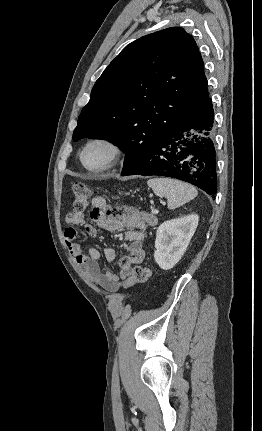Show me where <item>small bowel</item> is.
Segmentation results:
<instances>
[{
    "instance_id": "small-bowel-1",
    "label": "small bowel",
    "mask_w": 262,
    "mask_h": 431,
    "mask_svg": "<svg viewBox=\"0 0 262 431\" xmlns=\"http://www.w3.org/2000/svg\"><path fill=\"white\" fill-rule=\"evenodd\" d=\"M104 206L105 200L102 197L92 198L94 221L107 231H123L124 240L127 243L128 253L123 257L119 275L100 266L98 249L90 247L86 253L83 252L80 245L76 243L77 231L74 228L76 223L70 215L65 220L67 224L65 241L81 272L92 283L110 293H118L123 288L124 281L131 276V266L140 263L144 258L143 242L147 237L149 225H153L155 219L144 212L128 208L117 209L113 215L109 216ZM104 255L109 262H114L117 258L116 250L111 247L104 250Z\"/></svg>"
}]
</instances>
